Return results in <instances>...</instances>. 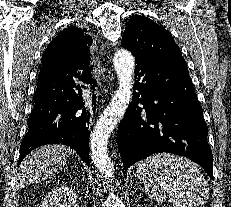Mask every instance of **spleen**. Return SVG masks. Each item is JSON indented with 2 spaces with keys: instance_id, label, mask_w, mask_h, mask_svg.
Segmentation results:
<instances>
[{
  "instance_id": "1",
  "label": "spleen",
  "mask_w": 231,
  "mask_h": 207,
  "mask_svg": "<svg viewBox=\"0 0 231 207\" xmlns=\"http://www.w3.org/2000/svg\"><path fill=\"white\" fill-rule=\"evenodd\" d=\"M137 176L157 202L174 207H195L209 196L206 179L190 160L169 153L150 156L138 165Z\"/></svg>"
}]
</instances>
